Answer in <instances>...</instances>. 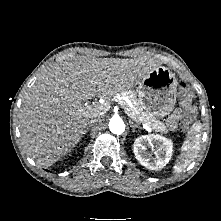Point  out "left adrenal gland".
<instances>
[{
	"mask_svg": "<svg viewBox=\"0 0 221 221\" xmlns=\"http://www.w3.org/2000/svg\"><path fill=\"white\" fill-rule=\"evenodd\" d=\"M130 125H131V128H132V132H135V128H141L140 125L134 124L132 121H130Z\"/></svg>",
	"mask_w": 221,
	"mask_h": 221,
	"instance_id": "left-adrenal-gland-1",
	"label": "left adrenal gland"
}]
</instances>
